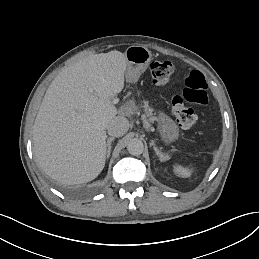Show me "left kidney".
I'll return each instance as SVG.
<instances>
[{
    "mask_svg": "<svg viewBox=\"0 0 259 259\" xmlns=\"http://www.w3.org/2000/svg\"><path fill=\"white\" fill-rule=\"evenodd\" d=\"M173 171L174 173L178 176V177H182V178H188L191 176L192 174V170L189 168H184L181 165H174L173 167Z\"/></svg>",
    "mask_w": 259,
    "mask_h": 259,
    "instance_id": "left-kidney-1",
    "label": "left kidney"
}]
</instances>
